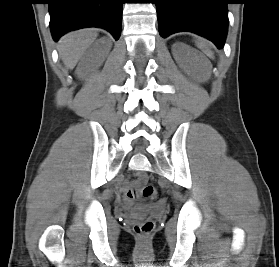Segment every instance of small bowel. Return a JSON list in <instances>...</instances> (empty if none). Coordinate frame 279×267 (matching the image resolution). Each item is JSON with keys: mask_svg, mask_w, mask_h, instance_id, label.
Returning <instances> with one entry per match:
<instances>
[{"mask_svg": "<svg viewBox=\"0 0 279 267\" xmlns=\"http://www.w3.org/2000/svg\"><path fill=\"white\" fill-rule=\"evenodd\" d=\"M138 187L137 181L132 183L131 185L125 186L126 194L129 199H135L138 201L140 198L137 196V192H133Z\"/></svg>", "mask_w": 279, "mask_h": 267, "instance_id": "1", "label": "small bowel"}]
</instances>
